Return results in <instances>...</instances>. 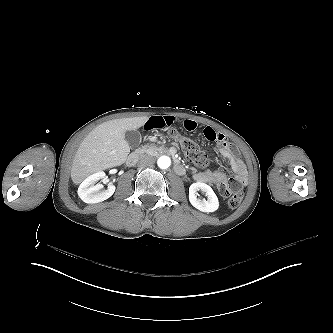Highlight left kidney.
Masks as SVG:
<instances>
[{
  "label": "left kidney",
  "instance_id": "left-kidney-1",
  "mask_svg": "<svg viewBox=\"0 0 333 333\" xmlns=\"http://www.w3.org/2000/svg\"><path fill=\"white\" fill-rule=\"evenodd\" d=\"M203 191L207 195V200L197 199V191ZM189 201L198 210L202 212H214L219 207V201L212 188L201 182L193 183L189 188Z\"/></svg>",
  "mask_w": 333,
  "mask_h": 333
}]
</instances>
